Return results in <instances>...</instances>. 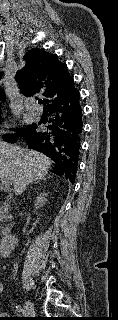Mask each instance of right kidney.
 I'll return each instance as SVG.
<instances>
[{"label":"right kidney","instance_id":"obj_1","mask_svg":"<svg viewBox=\"0 0 118 320\" xmlns=\"http://www.w3.org/2000/svg\"><path fill=\"white\" fill-rule=\"evenodd\" d=\"M47 193H40L37 197H36V200H35V208L38 209V208H41L45 205L47 199Z\"/></svg>","mask_w":118,"mask_h":320}]
</instances>
